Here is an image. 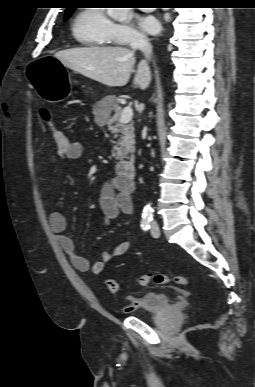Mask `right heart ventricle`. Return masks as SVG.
Returning a JSON list of instances; mask_svg holds the SVG:
<instances>
[{
	"mask_svg": "<svg viewBox=\"0 0 255 387\" xmlns=\"http://www.w3.org/2000/svg\"><path fill=\"white\" fill-rule=\"evenodd\" d=\"M110 20L107 12L100 8H87L78 12L73 19V37L85 46H106L111 43Z\"/></svg>",
	"mask_w": 255,
	"mask_h": 387,
	"instance_id": "e07e8e85",
	"label": "right heart ventricle"
}]
</instances>
